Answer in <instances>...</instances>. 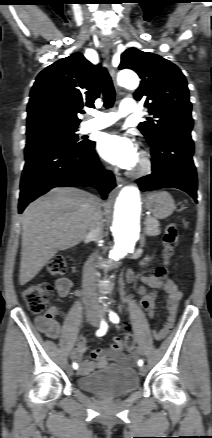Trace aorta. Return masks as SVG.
Wrapping results in <instances>:
<instances>
[{
	"label": "aorta",
	"mask_w": 212,
	"mask_h": 438,
	"mask_svg": "<svg viewBox=\"0 0 212 438\" xmlns=\"http://www.w3.org/2000/svg\"><path fill=\"white\" fill-rule=\"evenodd\" d=\"M118 84L125 88L136 89L139 85V78L132 71H122L118 75ZM140 214L141 203L138 188L125 186L114 197L111 231L115 245L108 255L109 262L119 261L133 250L141 232Z\"/></svg>",
	"instance_id": "1"
}]
</instances>
